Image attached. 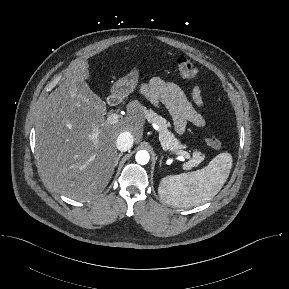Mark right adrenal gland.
Here are the masks:
<instances>
[{
    "label": "right adrenal gland",
    "instance_id": "1",
    "mask_svg": "<svg viewBox=\"0 0 289 289\" xmlns=\"http://www.w3.org/2000/svg\"><path fill=\"white\" fill-rule=\"evenodd\" d=\"M121 156H122V153H120V154L117 156V164H118V161H119V159L121 158Z\"/></svg>",
    "mask_w": 289,
    "mask_h": 289
}]
</instances>
